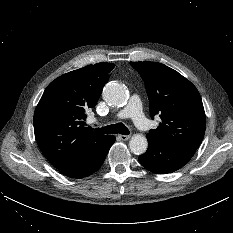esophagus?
<instances>
[{"instance_id":"esophagus-1","label":"esophagus","mask_w":233,"mask_h":233,"mask_svg":"<svg viewBox=\"0 0 233 233\" xmlns=\"http://www.w3.org/2000/svg\"><path fill=\"white\" fill-rule=\"evenodd\" d=\"M118 137H119L122 141H126V140L130 139V135H118Z\"/></svg>"}]
</instances>
